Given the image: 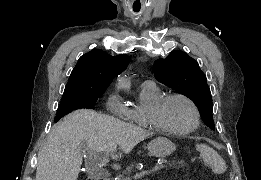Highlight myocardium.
Wrapping results in <instances>:
<instances>
[{
    "instance_id": "obj_1",
    "label": "myocardium",
    "mask_w": 261,
    "mask_h": 180,
    "mask_svg": "<svg viewBox=\"0 0 261 180\" xmlns=\"http://www.w3.org/2000/svg\"><path fill=\"white\" fill-rule=\"evenodd\" d=\"M173 100H181L187 103L194 113V121L193 124L184 131H171L168 130L163 123L157 118L158 111L169 104ZM141 123L143 124L144 128L150 132L152 136H162L168 138H181L190 135L193 133L201 123V111L196 104V102L191 99L189 96L181 93H172L164 95L156 105L141 114Z\"/></svg>"
}]
</instances>
